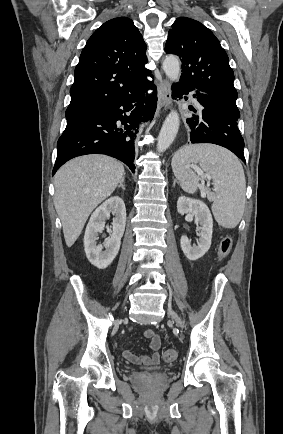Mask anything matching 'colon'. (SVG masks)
I'll return each instance as SVG.
<instances>
[{
    "label": "colon",
    "mask_w": 283,
    "mask_h": 434,
    "mask_svg": "<svg viewBox=\"0 0 283 434\" xmlns=\"http://www.w3.org/2000/svg\"><path fill=\"white\" fill-rule=\"evenodd\" d=\"M232 239L230 237H225L221 240L218 250V258L219 260H224L230 254L232 249ZM178 357V352L176 349H167L163 353V360L167 363H171L175 361Z\"/></svg>",
    "instance_id": "5ec220e1"
}]
</instances>
